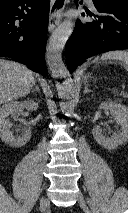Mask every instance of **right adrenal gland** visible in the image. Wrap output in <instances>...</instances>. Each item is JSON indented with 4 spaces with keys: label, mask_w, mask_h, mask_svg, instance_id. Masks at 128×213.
<instances>
[{
    "label": "right adrenal gland",
    "mask_w": 128,
    "mask_h": 213,
    "mask_svg": "<svg viewBox=\"0 0 128 213\" xmlns=\"http://www.w3.org/2000/svg\"><path fill=\"white\" fill-rule=\"evenodd\" d=\"M37 91L40 92L39 87L36 85V83H34V89L32 90V92Z\"/></svg>",
    "instance_id": "2a0ac1e0"
}]
</instances>
